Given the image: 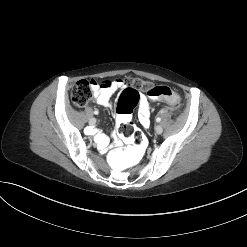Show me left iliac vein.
Masks as SVG:
<instances>
[{
  "label": "left iliac vein",
  "mask_w": 247,
  "mask_h": 247,
  "mask_svg": "<svg viewBox=\"0 0 247 247\" xmlns=\"http://www.w3.org/2000/svg\"><path fill=\"white\" fill-rule=\"evenodd\" d=\"M155 132L157 134H161L163 132V128L160 125L155 126Z\"/></svg>",
  "instance_id": "4c4485c4"
}]
</instances>
